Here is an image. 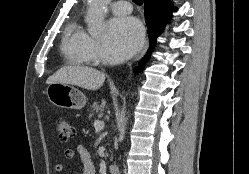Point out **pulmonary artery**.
I'll return each mask as SVG.
<instances>
[{"mask_svg":"<svg viewBox=\"0 0 249 174\" xmlns=\"http://www.w3.org/2000/svg\"><path fill=\"white\" fill-rule=\"evenodd\" d=\"M112 12L116 15L129 14L132 11V6L127 1H116L110 5Z\"/></svg>","mask_w":249,"mask_h":174,"instance_id":"1","label":"pulmonary artery"}]
</instances>
